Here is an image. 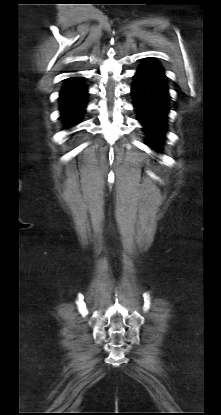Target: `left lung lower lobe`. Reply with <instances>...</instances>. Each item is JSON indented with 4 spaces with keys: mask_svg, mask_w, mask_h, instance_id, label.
<instances>
[{
    "mask_svg": "<svg viewBox=\"0 0 221 415\" xmlns=\"http://www.w3.org/2000/svg\"><path fill=\"white\" fill-rule=\"evenodd\" d=\"M134 109L146 133L147 145L162 149L166 138L169 92L164 70L155 60L145 58L133 77L131 87Z\"/></svg>",
    "mask_w": 221,
    "mask_h": 415,
    "instance_id": "left-lung-lower-lobe-1",
    "label": "left lung lower lobe"
}]
</instances>
